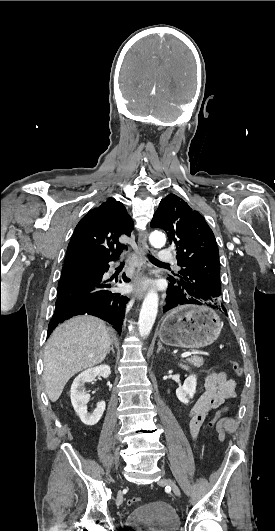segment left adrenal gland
Returning <instances> with one entry per match:
<instances>
[{
    "mask_svg": "<svg viewBox=\"0 0 275 531\" xmlns=\"http://www.w3.org/2000/svg\"><path fill=\"white\" fill-rule=\"evenodd\" d=\"M157 345H158V349H157L156 353H159V351H161V349H164V347H163L162 343H160V341H158ZM164 351H165V349H164Z\"/></svg>",
    "mask_w": 275,
    "mask_h": 531,
    "instance_id": "left-adrenal-gland-1",
    "label": "left adrenal gland"
}]
</instances>
